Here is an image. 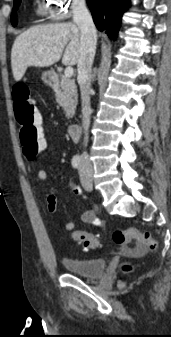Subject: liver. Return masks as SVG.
Here are the masks:
<instances>
[{
	"instance_id": "1",
	"label": "liver",
	"mask_w": 171,
	"mask_h": 337,
	"mask_svg": "<svg viewBox=\"0 0 171 337\" xmlns=\"http://www.w3.org/2000/svg\"><path fill=\"white\" fill-rule=\"evenodd\" d=\"M65 49V51H64ZM63 54L64 65H75L81 55V33L71 22L38 25L16 37L11 50L13 77L20 81L30 66L48 67Z\"/></svg>"
}]
</instances>
